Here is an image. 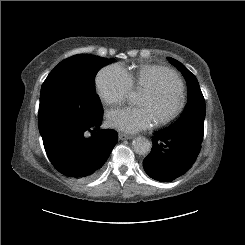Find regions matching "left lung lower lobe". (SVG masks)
<instances>
[{
    "label": "left lung lower lobe",
    "mask_w": 245,
    "mask_h": 245,
    "mask_svg": "<svg viewBox=\"0 0 245 245\" xmlns=\"http://www.w3.org/2000/svg\"><path fill=\"white\" fill-rule=\"evenodd\" d=\"M153 147L144 159L145 172L153 179L170 182L184 175L196 161L201 144L193 139L155 132L152 137Z\"/></svg>",
    "instance_id": "1"
}]
</instances>
